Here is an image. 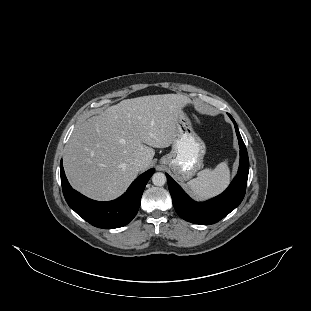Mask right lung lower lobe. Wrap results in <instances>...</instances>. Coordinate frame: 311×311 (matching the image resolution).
I'll use <instances>...</instances> for the list:
<instances>
[{
  "instance_id": "right-lung-lower-lobe-1",
  "label": "right lung lower lobe",
  "mask_w": 311,
  "mask_h": 311,
  "mask_svg": "<svg viewBox=\"0 0 311 311\" xmlns=\"http://www.w3.org/2000/svg\"><path fill=\"white\" fill-rule=\"evenodd\" d=\"M152 168L141 174L128 188L126 193L116 200L99 202L91 200L74 190L66 176L61 160L60 175L62 190L68 205L84 220L95 227L111 229L128 224L137 214L144 188L153 175Z\"/></svg>"
}]
</instances>
